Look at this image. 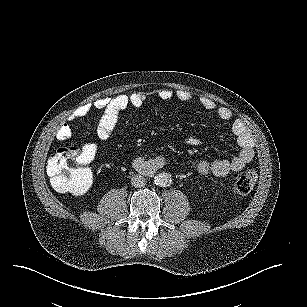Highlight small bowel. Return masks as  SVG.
I'll return each instance as SVG.
<instances>
[{
  "label": "small bowel",
  "mask_w": 307,
  "mask_h": 307,
  "mask_svg": "<svg viewBox=\"0 0 307 307\" xmlns=\"http://www.w3.org/2000/svg\"><path fill=\"white\" fill-rule=\"evenodd\" d=\"M158 97L162 100H170L176 98L183 103L191 101L192 96L189 92L172 91L170 89H162L158 92ZM148 95L142 92H136L129 95H118L113 98H102L94 102L86 103L78 107L59 128L57 132V139L60 142L68 141L75 129L78 128L80 122L88 115L92 109H97L102 112L101 118L97 126V136L101 140L110 138L112 132L118 122L120 113L128 106L141 107ZM200 105L208 110L213 111L216 115L224 120L231 121V130L236 137L237 144L240 148L239 153L230 160L218 159L211 163L198 162L195 164V170L200 174H212L214 176H225L230 172L241 171L248 163L254 158V142L250 133L248 132L244 123L240 120L233 119L232 111L225 106H218L213 100L207 97H201L199 99ZM185 143L189 145H199L200 141L194 136H188L185 138ZM97 154V145L95 143H87L82 147V156L86 163L89 165ZM163 164V159L158 157L149 162H146L142 158H138L135 161V166L140 169L148 167L149 169H155Z\"/></svg>",
  "instance_id": "c3829d8e"
}]
</instances>
